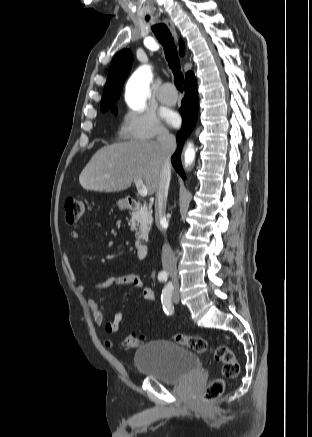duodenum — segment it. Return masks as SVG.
<instances>
[{
    "mask_svg": "<svg viewBox=\"0 0 312 437\" xmlns=\"http://www.w3.org/2000/svg\"><path fill=\"white\" fill-rule=\"evenodd\" d=\"M125 203L129 209H137L140 207L141 202L134 197H126ZM149 253V245L146 242H140L136 246V254L139 259H145Z\"/></svg>",
    "mask_w": 312,
    "mask_h": 437,
    "instance_id": "duodenum-1",
    "label": "duodenum"
}]
</instances>
